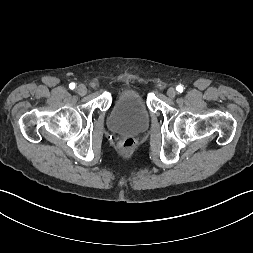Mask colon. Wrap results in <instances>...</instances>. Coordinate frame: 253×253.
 <instances>
[{
  "mask_svg": "<svg viewBox=\"0 0 253 253\" xmlns=\"http://www.w3.org/2000/svg\"><path fill=\"white\" fill-rule=\"evenodd\" d=\"M119 146L123 152H130L135 146V140L131 137L125 138L120 142Z\"/></svg>",
  "mask_w": 253,
  "mask_h": 253,
  "instance_id": "1",
  "label": "colon"
}]
</instances>
